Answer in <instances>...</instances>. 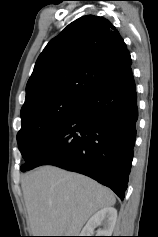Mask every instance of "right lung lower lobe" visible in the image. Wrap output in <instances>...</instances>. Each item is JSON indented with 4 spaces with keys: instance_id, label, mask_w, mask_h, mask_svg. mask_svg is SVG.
I'll list each match as a JSON object with an SVG mask.
<instances>
[{
    "instance_id": "obj_1",
    "label": "right lung lower lobe",
    "mask_w": 158,
    "mask_h": 237,
    "mask_svg": "<svg viewBox=\"0 0 158 237\" xmlns=\"http://www.w3.org/2000/svg\"><path fill=\"white\" fill-rule=\"evenodd\" d=\"M138 119L132 70L92 92L38 148L31 170L50 164L89 176L123 200L133 159Z\"/></svg>"
}]
</instances>
